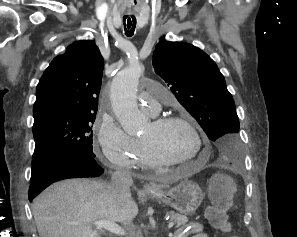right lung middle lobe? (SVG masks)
<instances>
[{
  "label": "right lung middle lobe",
  "mask_w": 297,
  "mask_h": 237,
  "mask_svg": "<svg viewBox=\"0 0 297 237\" xmlns=\"http://www.w3.org/2000/svg\"><path fill=\"white\" fill-rule=\"evenodd\" d=\"M96 113L83 115L56 114L41 118L33 125L37 159L56 151H77L95 157L92 151V124Z\"/></svg>",
  "instance_id": "1"
}]
</instances>
